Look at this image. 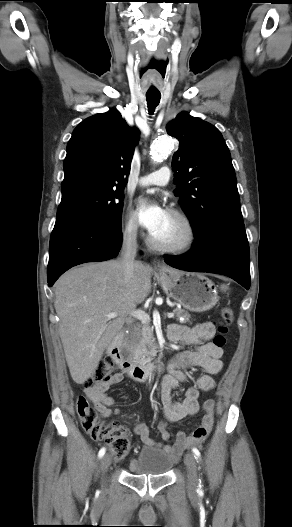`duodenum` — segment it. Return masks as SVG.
Wrapping results in <instances>:
<instances>
[{"label": "duodenum", "mask_w": 292, "mask_h": 527, "mask_svg": "<svg viewBox=\"0 0 292 527\" xmlns=\"http://www.w3.org/2000/svg\"><path fill=\"white\" fill-rule=\"evenodd\" d=\"M123 335L117 334L113 342L109 346V354L120 364V366L127 371V373L137 381H145L153 375L157 374L162 366L159 363H143L135 364L124 358L120 346Z\"/></svg>", "instance_id": "1"}]
</instances>
